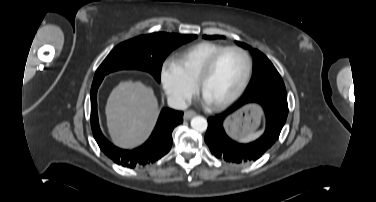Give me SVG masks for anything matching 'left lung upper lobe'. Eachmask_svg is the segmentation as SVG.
Returning a JSON list of instances; mask_svg holds the SVG:
<instances>
[{"label":"left lung upper lobe","instance_id":"1","mask_svg":"<svg viewBox=\"0 0 376 202\" xmlns=\"http://www.w3.org/2000/svg\"><path fill=\"white\" fill-rule=\"evenodd\" d=\"M204 39L221 38L219 35H204ZM243 48L250 49L254 56V72L251 81L242 98L252 97L258 94H273L279 97L287 98L286 88L283 80L270 60L257 49H251L244 43L237 42Z\"/></svg>","mask_w":376,"mask_h":202}]
</instances>
